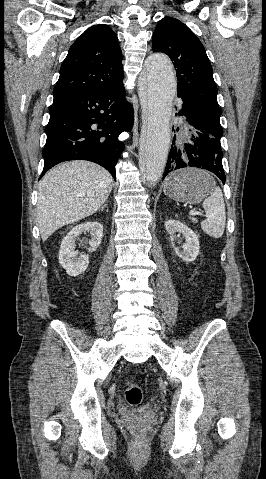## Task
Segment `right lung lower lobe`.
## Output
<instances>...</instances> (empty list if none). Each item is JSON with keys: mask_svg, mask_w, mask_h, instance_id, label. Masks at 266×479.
<instances>
[{"mask_svg": "<svg viewBox=\"0 0 266 479\" xmlns=\"http://www.w3.org/2000/svg\"><path fill=\"white\" fill-rule=\"evenodd\" d=\"M132 126L133 111L125 100L123 82L54 98L45 128L41 177L60 162L88 160L116 178L115 165L124 148L118 136Z\"/></svg>", "mask_w": 266, "mask_h": 479, "instance_id": "right-lung-lower-lobe-1", "label": "right lung lower lobe"}]
</instances>
